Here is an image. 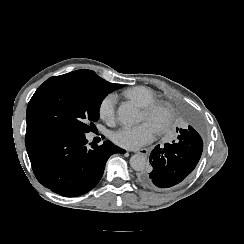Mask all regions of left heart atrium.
Returning a JSON list of instances; mask_svg holds the SVG:
<instances>
[{
	"mask_svg": "<svg viewBox=\"0 0 244 244\" xmlns=\"http://www.w3.org/2000/svg\"><path fill=\"white\" fill-rule=\"evenodd\" d=\"M157 137L156 128L149 122L137 127L122 128L112 134V141L123 148L136 150L143 145L155 141Z\"/></svg>",
	"mask_w": 244,
	"mask_h": 244,
	"instance_id": "1",
	"label": "left heart atrium"
}]
</instances>
